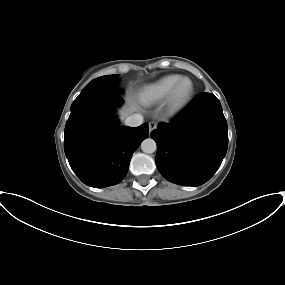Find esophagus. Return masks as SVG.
Segmentation results:
<instances>
[{
	"label": "esophagus",
	"instance_id": "1",
	"mask_svg": "<svg viewBox=\"0 0 285 285\" xmlns=\"http://www.w3.org/2000/svg\"><path fill=\"white\" fill-rule=\"evenodd\" d=\"M157 128V123L156 122H150L149 123V133H151L154 129Z\"/></svg>",
	"mask_w": 285,
	"mask_h": 285
}]
</instances>
